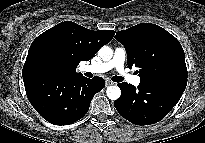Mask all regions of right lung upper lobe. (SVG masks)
I'll return each mask as SVG.
<instances>
[{
    "label": "right lung upper lobe",
    "instance_id": "1",
    "mask_svg": "<svg viewBox=\"0 0 205 143\" xmlns=\"http://www.w3.org/2000/svg\"><path fill=\"white\" fill-rule=\"evenodd\" d=\"M112 30H88L71 21L61 22L39 35L31 44L23 66V70L35 66L32 60L34 49L40 44L53 42L61 46L68 55L64 73L68 75H82L76 73V67L82 60H90L100 47L109 43L114 37Z\"/></svg>",
    "mask_w": 205,
    "mask_h": 143
}]
</instances>
